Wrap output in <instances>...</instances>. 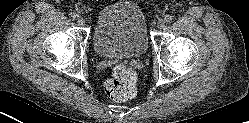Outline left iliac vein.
Masks as SVG:
<instances>
[{
	"label": "left iliac vein",
	"mask_w": 249,
	"mask_h": 123,
	"mask_svg": "<svg viewBox=\"0 0 249 123\" xmlns=\"http://www.w3.org/2000/svg\"><path fill=\"white\" fill-rule=\"evenodd\" d=\"M158 28L162 29L165 27V20L164 19H159L157 23Z\"/></svg>",
	"instance_id": "4c4485c4"
}]
</instances>
